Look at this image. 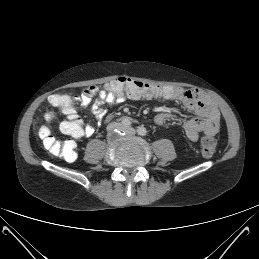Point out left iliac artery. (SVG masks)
<instances>
[{
  "label": "left iliac artery",
  "mask_w": 259,
  "mask_h": 259,
  "mask_svg": "<svg viewBox=\"0 0 259 259\" xmlns=\"http://www.w3.org/2000/svg\"><path fill=\"white\" fill-rule=\"evenodd\" d=\"M137 132H138V134L141 135V136H146V135L148 134V131H147L146 128L143 127V126L137 127Z\"/></svg>",
  "instance_id": "obj_1"
}]
</instances>
